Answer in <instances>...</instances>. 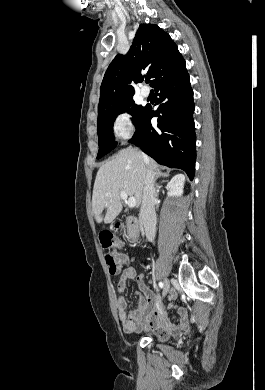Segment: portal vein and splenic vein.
Masks as SVG:
<instances>
[{"instance_id": "18ae733b", "label": "portal vein and splenic vein", "mask_w": 265, "mask_h": 390, "mask_svg": "<svg viewBox=\"0 0 265 390\" xmlns=\"http://www.w3.org/2000/svg\"><path fill=\"white\" fill-rule=\"evenodd\" d=\"M107 196L110 197V195H107ZM120 197H121V199H123L127 202V205L129 207H135L137 204L136 199L132 196L128 197L127 193L123 190L120 193Z\"/></svg>"}]
</instances>
